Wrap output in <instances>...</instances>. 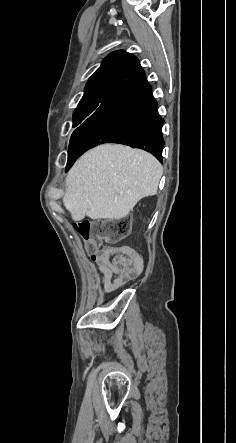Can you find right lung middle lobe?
Here are the masks:
<instances>
[{"label":"right lung middle lobe","instance_id":"obj_1","mask_svg":"<svg viewBox=\"0 0 236 443\" xmlns=\"http://www.w3.org/2000/svg\"><path fill=\"white\" fill-rule=\"evenodd\" d=\"M107 98L108 97H98L78 105L73 114V127L77 126V129L73 132L70 138L69 146L71 145L72 139L74 138L77 131L82 127L81 125L87 122L89 117Z\"/></svg>","mask_w":236,"mask_h":443}]
</instances>
